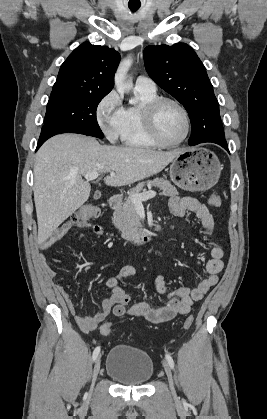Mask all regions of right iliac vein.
Returning a JSON list of instances; mask_svg holds the SVG:
<instances>
[{"label":"right iliac vein","instance_id":"obj_1","mask_svg":"<svg viewBox=\"0 0 267 419\" xmlns=\"http://www.w3.org/2000/svg\"><path fill=\"white\" fill-rule=\"evenodd\" d=\"M100 363H101L100 357H98L95 361L94 368H93L92 385H94V383L96 381V378L98 376V373H99V370H100Z\"/></svg>","mask_w":267,"mask_h":419}]
</instances>
